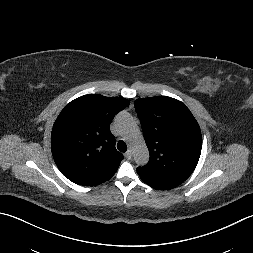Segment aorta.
<instances>
[{
    "mask_svg": "<svg viewBox=\"0 0 253 253\" xmlns=\"http://www.w3.org/2000/svg\"><path fill=\"white\" fill-rule=\"evenodd\" d=\"M117 124L132 147L136 163L139 165L146 164L149 160V152L133 118L129 115H122L118 118Z\"/></svg>",
    "mask_w": 253,
    "mask_h": 253,
    "instance_id": "762f6f07",
    "label": "aorta"
}]
</instances>
